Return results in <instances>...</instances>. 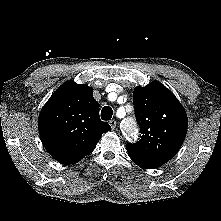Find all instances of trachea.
<instances>
[{"label": "trachea", "instance_id": "trachea-1", "mask_svg": "<svg viewBox=\"0 0 221 221\" xmlns=\"http://www.w3.org/2000/svg\"><path fill=\"white\" fill-rule=\"evenodd\" d=\"M113 115V110L109 106H104L101 110V118L104 121L111 120Z\"/></svg>", "mask_w": 221, "mask_h": 221}]
</instances>
